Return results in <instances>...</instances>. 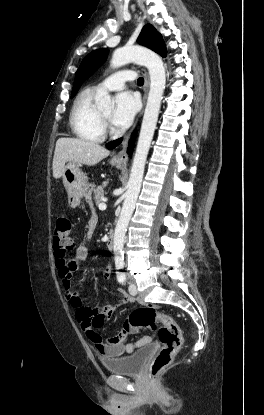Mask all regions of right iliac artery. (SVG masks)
I'll list each match as a JSON object with an SVG mask.
<instances>
[{
  "label": "right iliac artery",
  "instance_id": "obj_1",
  "mask_svg": "<svg viewBox=\"0 0 264 415\" xmlns=\"http://www.w3.org/2000/svg\"><path fill=\"white\" fill-rule=\"evenodd\" d=\"M119 269H121V268H119ZM125 280H126L125 276H122V277L119 278V282L122 283V284L125 282Z\"/></svg>",
  "mask_w": 264,
  "mask_h": 415
}]
</instances>
